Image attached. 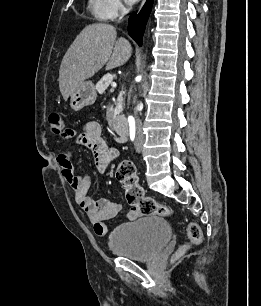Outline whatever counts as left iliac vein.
I'll list each match as a JSON object with an SVG mask.
<instances>
[{
  "label": "left iliac vein",
  "instance_id": "1",
  "mask_svg": "<svg viewBox=\"0 0 261 306\" xmlns=\"http://www.w3.org/2000/svg\"><path fill=\"white\" fill-rule=\"evenodd\" d=\"M135 147H136V152L140 153L141 149H142V141H141V139H139V138L136 139Z\"/></svg>",
  "mask_w": 261,
  "mask_h": 306
}]
</instances>
